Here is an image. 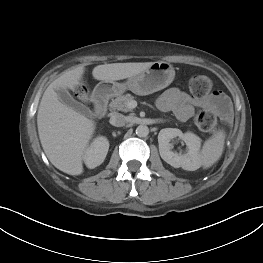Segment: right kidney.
Wrapping results in <instances>:
<instances>
[{"label":"right kidney","mask_w":263,"mask_h":263,"mask_svg":"<svg viewBox=\"0 0 263 263\" xmlns=\"http://www.w3.org/2000/svg\"><path fill=\"white\" fill-rule=\"evenodd\" d=\"M109 149V142L106 137H97L87 148L83 160L86 166L93 169L103 163Z\"/></svg>","instance_id":"obj_1"}]
</instances>
